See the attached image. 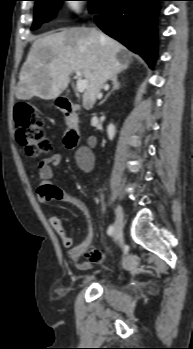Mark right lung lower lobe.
Listing matches in <instances>:
<instances>
[{
  "mask_svg": "<svg viewBox=\"0 0 193 349\" xmlns=\"http://www.w3.org/2000/svg\"><path fill=\"white\" fill-rule=\"evenodd\" d=\"M163 0H99L91 13L109 36L138 53L153 67L157 57L156 18Z\"/></svg>",
  "mask_w": 193,
  "mask_h": 349,
  "instance_id": "1",
  "label": "right lung lower lobe"
}]
</instances>
